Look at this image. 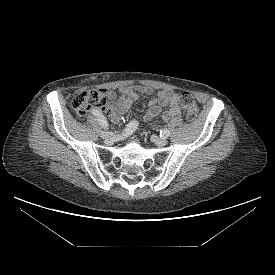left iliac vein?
Wrapping results in <instances>:
<instances>
[{"instance_id":"1","label":"left iliac vein","mask_w":275,"mask_h":275,"mask_svg":"<svg viewBox=\"0 0 275 275\" xmlns=\"http://www.w3.org/2000/svg\"><path fill=\"white\" fill-rule=\"evenodd\" d=\"M152 142L156 144L157 146H165L167 143V140L164 137H159L156 135L151 136Z\"/></svg>"}]
</instances>
